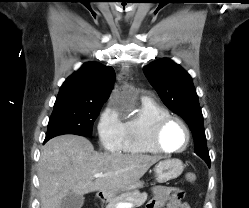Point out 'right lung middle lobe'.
Returning a JSON list of instances; mask_svg holds the SVG:
<instances>
[{"instance_id": "1", "label": "right lung middle lobe", "mask_w": 249, "mask_h": 208, "mask_svg": "<svg viewBox=\"0 0 249 208\" xmlns=\"http://www.w3.org/2000/svg\"><path fill=\"white\" fill-rule=\"evenodd\" d=\"M103 104L76 103L54 106L46 138L62 134L90 137L92 127Z\"/></svg>"}]
</instances>
